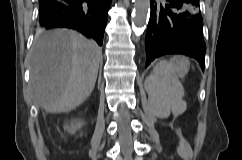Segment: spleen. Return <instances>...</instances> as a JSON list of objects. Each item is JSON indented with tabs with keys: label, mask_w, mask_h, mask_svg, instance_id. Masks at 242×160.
Segmentation results:
<instances>
[{
	"label": "spleen",
	"mask_w": 242,
	"mask_h": 160,
	"mask_svg": "<svg viewBox=\"0 0 242 160\" xmlns=\"http://www.w3.org/2000/svg\"><path fill=\"white\" fill-rule=\"evenodd\" d=\"M189 61L181 56H175L169 61L162 60L153 68V74L147 79L146 87L150 95L157 96V104L162 108L174 107L178 100L177 89H181L179 77L184 73V66Z\"/></svg>",
	"instance_id": "3e777b00"
}]
</instances>
